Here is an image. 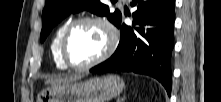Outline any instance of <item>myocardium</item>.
<instances>
[{"instance_id": "myocardium-1", "label": "myocardium", "mask_w": 221, "mask_h": 102, "mask_svg": "<svg viewBox=\"0 0 221 102\" xmlns=\"http://www.w3.org/2000/svg\"><path fill=\"white\" fill-rule=\"evenodd\" d=\"M81 23H92L99 25L106 33L107 44L103 52L97 58L86 64L76 65L70 62V60L68 59L66 53V46L70 32L76 25ZM117 44H118L117 31L113 26V24L107 18L99 15H82L71 20L67 24L60 41V55L63 63L67 67L75 70H88L107 60L115 51Z\"/></svg>"}]
</instances>
